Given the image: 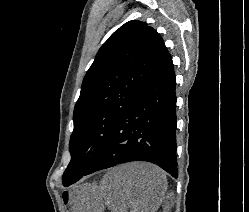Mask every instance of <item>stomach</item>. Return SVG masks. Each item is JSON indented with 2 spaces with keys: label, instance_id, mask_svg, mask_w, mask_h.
I'll use <instances>...</instances> for the list:
<instances>
[{
  "label": "stomach",
  "instance_id": "stomach-1",
  "mask_svg": "<svg viewBox=\"0 0 249 212\" xmlns=\"http://www.w3.org/2000/svg\"><path fill=\"white\" fill-rule=\"evenodd\" d=\"M70 212H103L102 194L97 184H80L63 194Z\"/></svg>",
  "mask_w": 249,
  "mask_h": 212
}]
</instances>
